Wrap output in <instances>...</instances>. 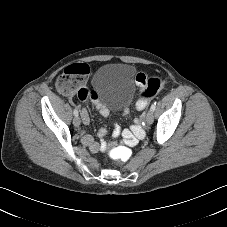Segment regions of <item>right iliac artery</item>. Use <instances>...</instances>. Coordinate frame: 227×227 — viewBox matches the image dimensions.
<instances>
[{
    "label": "right iliac artery",
    "instance_id": "obj_1",
    "mask_svg": "<svg viewBox=\"0 0 227 227\" xmlns=\"http://www.w3.org/2000/svg\"><path fill=\"white\" fill-rule=\"evenodd\" d=\"M74 116L78 117V110L77 109L74 110Z\"/></svg>",
    "mask_w": 227,
    "mask_h": 227
}]
</instances>
